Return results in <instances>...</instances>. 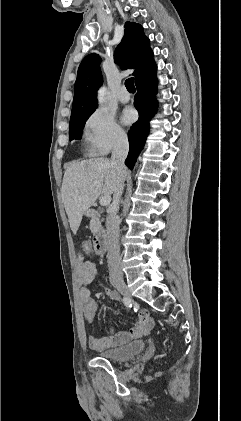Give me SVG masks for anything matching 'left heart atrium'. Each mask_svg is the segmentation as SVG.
Listing matches in <instances>:
<instances>
[{
  "label": "left heart atrium",
  "mask_w": 241,
  "mask_h": 421,
  "mask_svg": "<svg viewBox=\"0 0 241 421\" xmlns=\"http://www.w3.org/2000/svg\"><path fill=\"white\" fill-rule=\"evenodd\" d=\"M135 118H136V114L134 110L130 108L126 109L122 115V120L126 124L132 123L135 120Z\"/></svg>",
  "instance_id": "left-heart-atrium-1"
}]
</instances>
